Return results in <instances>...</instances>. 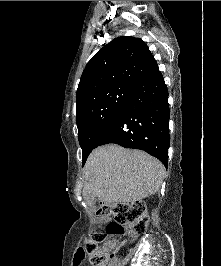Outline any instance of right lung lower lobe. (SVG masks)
I'll list each match as a JSON object with an SVG mask.
<instances>
[{"label": "right lung lower lobe", "instance_id": "98d812e1", "mask_svg": "<svg viewBox=\"0 0 221 266\" xmlns=\"http://www.w3.org/2000/svg\"><path fill=\"white\" fill-rule=\"evenodd\" d=\"M169 117L168 90L158 70L136 86L121 112L99 137L96 147L115 143L141 149L167 168Z\"/></svg>", "mask_w": 221, "mask_h": 266}]
</instances>
